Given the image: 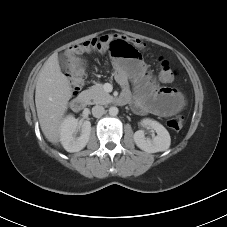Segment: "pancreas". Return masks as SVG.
Returning <instances> with one entry per match:
<instances>
[{
	"label": "pancreas",
	"instance_id": "obj_1",
	"mask_svg": "<svg viewBox=\"0 0 227 227\" xmlns=\"http://www.w3.org/2000/svg\"><path fill=\"white\" fill-rule=\"evenodd\" d=\"M90 100H92L93 104H102L106 105L113 102L114 98L104 91L102 84H96L89 88L86 91Z\"/></svg>",
	"mask_w": 227,
	"mask_h": 227
}]
</instances>
